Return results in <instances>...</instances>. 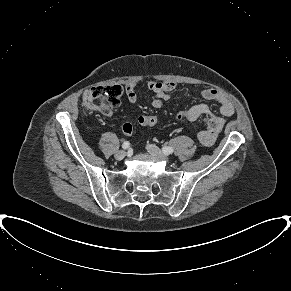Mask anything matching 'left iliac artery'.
<instances>
[{
    "label": "left iliac artery",
    "instance_id": "1",
    "mask_svg": "<svg viewBox=\"0 0 291 291\" xmlns=\"http://www.w3.org/2000/svg\"><path fill=\"white\" fill-rule=\"evenodd\" d=\"M162 151L165 155H169V154H172L174 152V149L170 146H164L162 148Z\"/></svg>",
    "mask_w": 291,
    "mask_h": 291
}]
</instances>
